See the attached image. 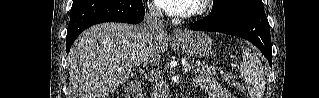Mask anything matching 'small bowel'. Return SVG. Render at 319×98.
<instances>
[{
  "instance_id": "c3829d8e",
  "label": "small bowel",
  "mask_w": 319,
  "mask_h": 98,
  "mask_svg": "<svg viewBox=\"0 0 319 98\" xmlns=\"http://www.w3.org/2000/svg\"><path fill=\"white\" fill-rule=\"evenodd\" d=\"M196 82L208 92L209 98H233L228 89L216 84L208 78L200 77Z\"/></svg>"
}]
</instances>
